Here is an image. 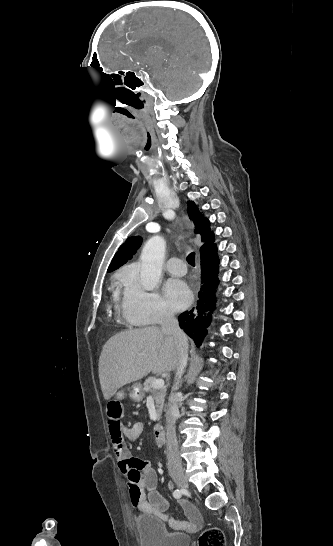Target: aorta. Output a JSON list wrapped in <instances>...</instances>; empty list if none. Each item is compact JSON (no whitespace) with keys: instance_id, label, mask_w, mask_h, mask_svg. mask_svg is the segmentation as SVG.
Instances as JSON below:
<instances>
[{"instance_id":"aorta-1","label":"aorta","mask_w":333,"mask_h":546,"mask_svg":"<svg viewBox=\"0 0 333 546\" xmlns=\"http://www.w3.org/2000/svg\"><path fill=\"white\" fill-rule=\"evenodd\" d=\"M166 242L163 237H151L142 249L140 256V278L147 291L155 289L160 281L165 257Z\"/></svg>"}]
</instances>
